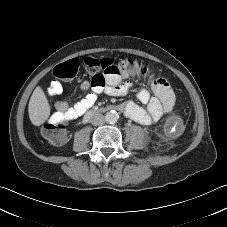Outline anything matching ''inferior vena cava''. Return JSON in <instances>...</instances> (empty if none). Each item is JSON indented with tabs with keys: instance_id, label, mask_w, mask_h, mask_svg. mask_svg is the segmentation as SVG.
<instances>
[{
	"instance_id": "obj_1",
	"label": "inferior vena cava",
	"mask_w": 227,
	"mask_h": 227,
	"mask_svg": "<svg viewBox=\"0 0 227 227\" xmlns=\"http://www.w3.org/2000/svg\"><path fill=\"white\" fill-rule=\"evenodd\" d=\"M91 123L94 126H100L105 123V118L102 114L97 113L91 118Z\"/></svg>"
}]
</instances>
